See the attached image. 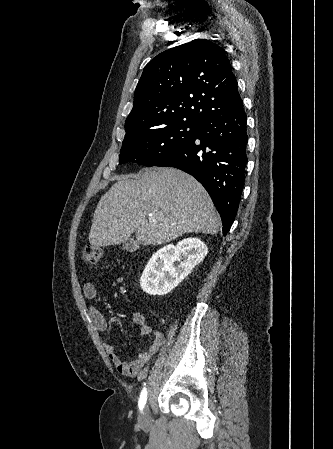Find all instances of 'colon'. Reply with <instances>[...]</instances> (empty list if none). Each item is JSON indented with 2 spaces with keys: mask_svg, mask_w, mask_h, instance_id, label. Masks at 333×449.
Returning <instances> with one entry per match:
<instances>
[{
  "mask_svg": "<svg viewBox=\"0 0 333 449\" xmlns=\"http://www.w3.org/2000/svg\"><path fill=\"white\" fill-rule=\"evenodd\" d=\"M102 256V250L97 247V246H93V245H89L87 246L82 253V260L86 263V264H96Z\"/></svg>",
  "mask_w": 333,
  "mask_h": 449,
  "instance_id": "colon-1",
  "label": "colon"
}]
</instances>
